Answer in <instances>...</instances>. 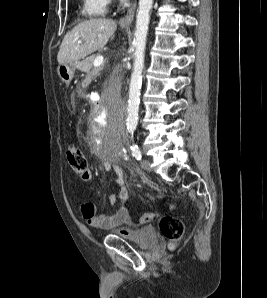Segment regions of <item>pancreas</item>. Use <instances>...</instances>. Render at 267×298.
I'll list each match as a JSON object with an SVG mask.
<instances>
[{
    "label": "pancreas",
    "instance_id": "1",
    "mask_svg": "<svg viewBox=\"0 0 267 298\" xmlns=\"http://www.w3.org/2000/svg\"><path fill=\"white\" fill-rule=\"evenodd\" d=\"M97 55H92L86 59H84L78 66L79 70L85 72L88 77H92L98 74L100 70H102L103 66L94 67V60Z\"/></svg>",
    "mask_w": 267,
    "mask_h": 298
}]
</instances>
